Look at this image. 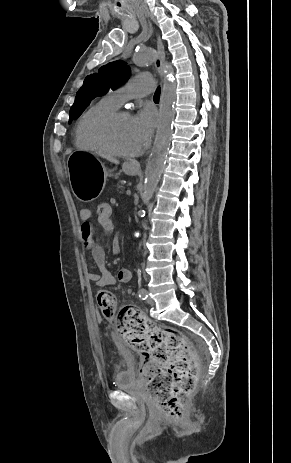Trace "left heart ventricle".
Here are the masks:
<instances>
[{"label":"left heart ventricle","instance_id":"1","mask_svg":"<svg viewBox=\"0 0 291 463\" xmlns=\"http://www.w3.org/2000/svg\"><path fill=\"white\" fill-rule=\"evenodd\" d=\"M110 142L119 150L134 152L141 147L129 115L117 119L107 131Z\"/></svg>","mask_w":291,"mask_h":463}]
</instances>
